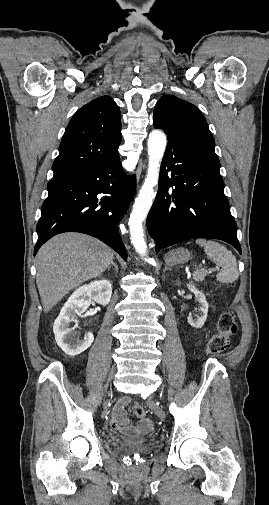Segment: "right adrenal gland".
<instances>
[{
    "label": "right adrenal gland",
    "mask_w": 269,
    "mask_h": 505,
    "mask_svg": "<svg viewBox=\"0 0 269 505\" xmlns=\"http://www.w3.org/2000/svg\"><path fill=\"white\" fill-rule=\"evenodd\" d=\"M112 266H114L116 273H118V266L115 264V262H114V261H112L111 265H110V266H108V269H107V270L109 271V270H110V268H111Z\"/></svg>",
    "instance_id": "1"
}]
</instances>
